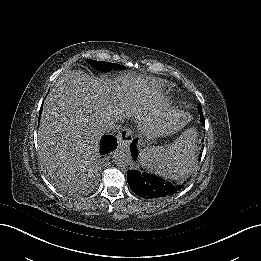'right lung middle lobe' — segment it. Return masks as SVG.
I'll list each match as a JSON object with an SVG mask.
<instances>
[{"instance_id":"1","label":"right lung middle lobe","mask_w":261,"mask_h":261,"mask_svg":"<svg viewBox=\"0 0 261 261\" xmlns=\"http://www.w3.org/2000/svg\"><path fill=\"white\" fill-rule=\"evenodd\" d=\"M92 64H94V66H96L97 68H99L100 70H108L111 68H122L121 65H117L115 63H109V62H100V61H95V60H90ZM101 158H97L96 162L92 165L91 169H90V174L91 173H95L97 171V169L99 168V165L101 163Z\"/></svg>"}]
</instances>
